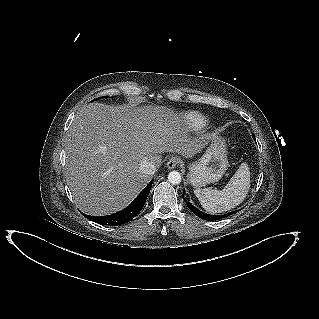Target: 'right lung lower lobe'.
Returning a JSON list of instances; mask_svg holds the SVG:
<instances>
[{
    "mask_svg": "<svg viewBox=\"0 0 319 319\" xmlns=\"http://www.w3.org/2000/svg\"><path fill=\"white\" fill-rule=\"evenodd\" d=\"M153 180L143 189V191L134 199V201L125 209L108 216L94 217L83 214L88 219L102 225L115 226L124 224L133 219L142 209L148 194L150 192Z\"/></svg>",
    "mask_w": 319,
    "mask_h": 319,
    "instance_id": "98d812e1",
    "label": "right lung lower lobe"
}]
</instances>
